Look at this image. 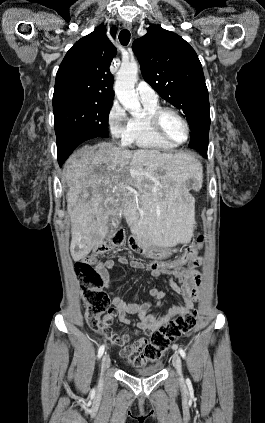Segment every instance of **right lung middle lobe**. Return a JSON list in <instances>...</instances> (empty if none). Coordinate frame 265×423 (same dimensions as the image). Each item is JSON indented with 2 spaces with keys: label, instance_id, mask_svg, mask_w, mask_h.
<instances>
[{
  "label": "right lung middle lobe",
  "instance_id": "right-lung-middle-lobe-1",
  "mask_svg": "<svg viewBox=\"0 0 265 423\" xmlns=\"http://www.w3.org/2000/svg\"><path fill=\"white\" fill-rule=\"evenodd\" d=\"M110 102H101L79 97H66L53 100L54 126L59 138L69 131L84 132L94 137L108 138V116ZM58 162L61 164L71 154L62 146H57Z\"/></svg>",
  "mask_w": 265,
  "mask_h": 423
}]
</instances>
